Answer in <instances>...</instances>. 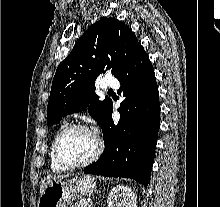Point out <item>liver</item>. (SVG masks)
<instances>
[{"instance_id":"obj_1","label":"liver","mask_w":220,"mask_h":207,"mask_svg":"<svg viewBox=\"0 0 220 207\" xmlns=\"http://www.w3.org/2000/svg\"><path fill=\"white\" fill-rule=\"evenodd\" d=\"M63 176H48L46 180L40 186V194L44 192V189L49 184L51 180L61 179Z\"/></svg>"}]
</instances>
